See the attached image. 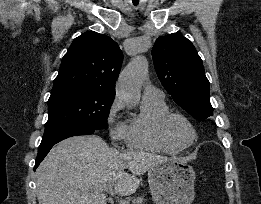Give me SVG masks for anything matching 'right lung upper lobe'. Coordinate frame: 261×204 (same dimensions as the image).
<instances>
[{
    "instance_id": "cb5924a9",
    "label": "right lung upper lobe",
    "mask_w": 261,
    "mask_h": 204,
    "mask_svg": "<svg viewBox=\"0 0 261 204\" xmlns=\"http://www.w3.org/2000/svg\"><path fill=\"white\" fill-rule=\"evenodd\" d=\"M123 54L109 36L85 32L72 42L64 55L52 94L68 90H94L115 96Z\"/></svg>"
}]
</instances>
